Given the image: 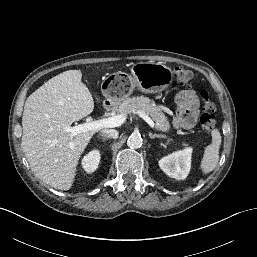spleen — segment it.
Here are the masks:
<instances>
[{
  "instance_id": "spleen-1",
  "label": "spleen",
  "mask_w": 257,
  "mask_h": 257,
  "mask_svg": "<svg viewBox=\"0 0 257 257\" xmlns=\"http://www.w3.org/2000/svg\"><path fill=\"white\" fill-rule=\"evenodd\" d=\"M212 141L204 151L203 158L201 160L200 169L203 174L212 172L219 161V150L222 142L220 132L217 129L211 131Z\"/></svg>"
}]
</instances>
